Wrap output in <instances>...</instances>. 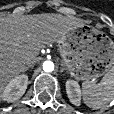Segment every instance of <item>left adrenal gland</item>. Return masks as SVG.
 Returning a JSON list of instances; mask_svg holds the SVG:
<instances>
[{"mask_svg": "<svg viewBox=\"0 0 114 114\" xmlns=\"http://www.w3.org/2000/svg\"><path fill=\"white\" fill-rule=\"evenodd\" d=\"M64 70H66V68L64 67V64H63V63H61L60 72L62 73V72H64Z\"/></svg>", "mask_w": 114, "mask_h": 114, "instance_id": "left-adrenal-gland-1", "label": "left adrenal gland"}]
</instances>
